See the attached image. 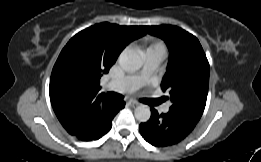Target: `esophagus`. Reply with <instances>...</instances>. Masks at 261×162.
Segmentation results:
<instances>
[{
  "label": "esophagus",
  "instance_id": "esophagus-1",
  "mask_svg": "<svg viewBox=\"0 0 261 162\" xmlns=\"http://www.w3.org/2000/svg\"><path fill=\"white\" fill-rule=\"evenodd\" d=\"M127 104L131 107H137L139 105V103L134 100H129Z\"/></svg>",
  "mask_w": 261,
  "mask_h": 162
}]
</instances>
